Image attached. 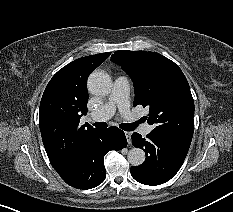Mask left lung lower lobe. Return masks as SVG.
<instances>
[{"label":"left lung lower lobe","instance_id":"0a47b994","mask_svg":"<svg viewBox=\"0 0 233 212\" xmlns=\"http://www.w3.org/2000/svg\"><path fill=\"white\" fill-rule=\"evenodd\" d=\"M191 141L149 133L147 139L132 134V144L146 153L140 166H132V177L145 185H160L170 180L182 166Z\"/></svg>","mask_w":233,"mask_h":212}]
</instances>
